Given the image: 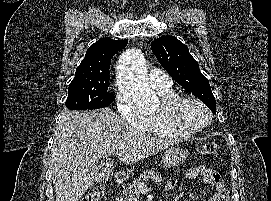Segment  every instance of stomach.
Segmentation results:
<instances>
[{
    "label": "stomach",
    "mask_w": 271,
    "mask_h": 201,
    "mask_svg": "<svg viewBox=\"0 0 271 201\" xmlns=\"http://www.w3.org/2000/svg\"><path fill=\"white\" fill-rule=\"evenodd\" d=\"M187 151L180 146H172L162 155V163L167 168L181 165L187 158Z\"/></svg>",
    "instance_id": "obj_1"
}]
</instances>
